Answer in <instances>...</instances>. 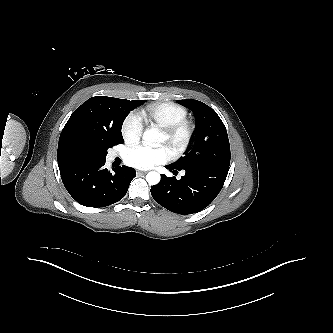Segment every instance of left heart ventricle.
<instances>
[{
    "label": "left heart ventricle",
    "instance_id": "1",
    "mask_svg": "<svg viewBox=\"0 0 333 333\" xmlns=\"http://www.w3.org/2000/svg\"><path fill=\"white\" fill-rule=\"evenodd\" d=\"M161 142H162V143L165 142V136L163 135V133L161 134Z\"/></svg>",
    "mask_w": 333,
    "mask_h": 333
}]
</instances>
